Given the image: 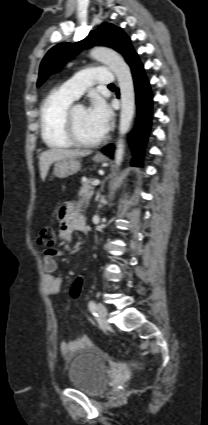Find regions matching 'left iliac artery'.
<instances>
[{
	"label": "left iliac artery",
	"instance_id": "left-iliac-artery-1",
	"mask_svg": "<svg viewBox=\"0 0 208 425\" xmlns=\"http://www.w3.org/2000/svg\"><path fill=\"white\" fill-rule=\"evenodd\" d=\"M88 307H89V310L92 312V314L96 315V304H95V302L90 301L88 303Z\"/></svg>",
	"mask_w": 208,
	"mask_h": 425
}]
</instances>
